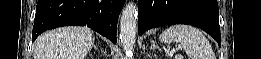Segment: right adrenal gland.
<instances>
[{
  "instance_id": "right-adrenal-gland-1",
  "label": "right adrenal gland",
  "mask_w": 261,
  "mask_h": 59,
  "mask_svg": "<svg viewBox=\"0 0 261 59\" xmlns=\"http://www.w3.org/2000/svg\"><path fill=\"white\" fill-rule=\"evenodd\" d=\"M93 48L97 50V47L93 44Z\"/></svg>"
}]
</instances>
